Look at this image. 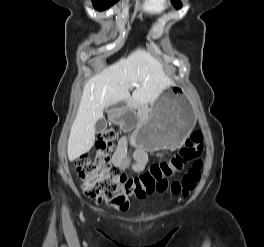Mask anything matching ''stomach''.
<instances>
[{
	"instance_id": "obj_1",
	"label": "stomach",
	"mask_w": 264,
	"mask_h": 247,
	"mask_svg": "<svg viewBox=\"0 0 264 247\" xmlns=\"http://www.w3.org/2000/svg\"><path fill=\"white\" fill-rule=\"evenodd\" d=\"M110 118L125 129L135 128L132 141L146 151L178 147L194 122L192 106L182 86H167L142 120L130 104L112 109Z\"/></svg>"
}]
</instances>
